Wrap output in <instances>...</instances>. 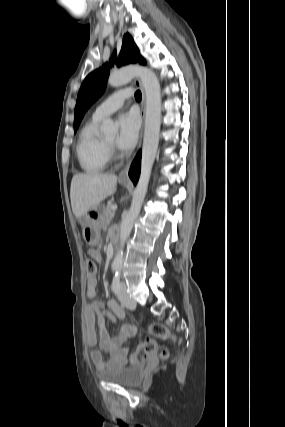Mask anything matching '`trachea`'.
<instances>
[{"label":"trachea","mask_w":285,"mask_h":427,"mask_svg":"<svg viewBox=\"0 0 285 427\" xmlns=\"http://www.w3.org/2000/svg\"><path fill=\"white\" fill-rule=\"evenodd\" d=\"M141 97H142L141 92L140 91H136L135 92V99L136 100H141Z\"/></svg>","instance_id":"obj_1"}]
</instances>
